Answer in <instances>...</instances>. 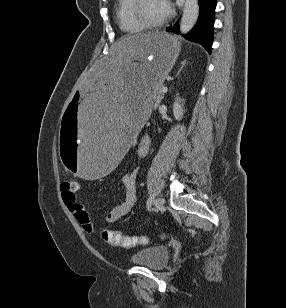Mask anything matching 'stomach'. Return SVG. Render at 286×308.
<instances>
[{"label": "stomach", "mask_w": 286, "mask_h": 308, "mask_svg": "<svg viewBox=\"0 0 286 308\" xmlns=\"http://www.w3.org/2000/svg\"><path fill=\"white\" fill-rule=\"evenodd\" d=\"M179 52L175 37L153 33L126 36L112 55L96 60L60 118L58 153L67 173L83 182L116 173Z\"/></svg>", "instance_id": "obj_1"}]
</instances>
